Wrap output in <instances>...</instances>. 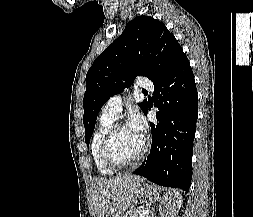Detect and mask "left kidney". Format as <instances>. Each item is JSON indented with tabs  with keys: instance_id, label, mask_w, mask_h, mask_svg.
Wrapping results in <instances>:
<instances>
[{
	"instance_id": "5707ae66",
	"label": "left kidney",
	"mask_w": 253,
	"mask_h": 217,
	"mask_svg": "<svg viewBox=\"0 0 253 217\" xmlns=\"http://www.w3.org/2000/svg\"><path fill=\"white\" fill-rule=\"evenodd\" d=\"M169 195L170 197H168V194H166L163 200L161 201L160 214L162 217H169L168 214L169 210L173 212L176 208L179 209L182 202V197L178 192L169 193Z\"/></svg>"
}]
</instances>
